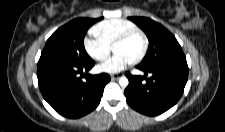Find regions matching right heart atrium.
<instances>
[{"mask_svg":"<svg viewBox=\"0 0 225 132\" xmlns=\"http://www.w3.org/2000/svg\"><path fill=\"white\" fill-rule=\"evenodd\" d=\"M84 49L86 53L94 60L103 62L108 59L112 48L104 44L100 39L94 36H86L84 39Z\"/></svg>","mask_w":225,"mask_h":132,"instance_id":"obj_1","label":"right heart atrium"}]
</instances>
